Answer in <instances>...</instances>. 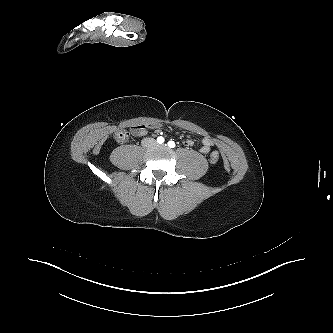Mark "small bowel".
I'll return each mask as SVG.
<instances>
[{
  "label": "small bowel",
  "mask_w": 333,
  "mask_h": 333,
  "mask_svg": "<svg viewBox=\"0 0 333 333\" xmlns=\"http://www.w3.org/2000/svg\"><path fill=\"white\" fill-rule=\"evenodd\" d=\"M131 133L133 136L140 137L147 133V128L144 125L140 126H133L131 127ZM186 146H193V141L190 139L185 140ZM212 140L210 138H204L201 142V146L199 148L200 152L203 154H208L210 152L211 146H212Z\"/></svg>",
  "instance_id": "c3829d8e"
}]
</instances>
